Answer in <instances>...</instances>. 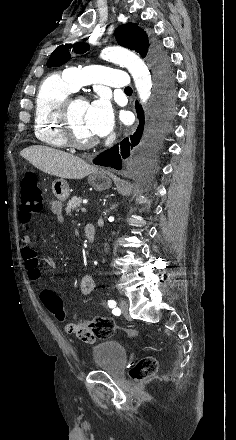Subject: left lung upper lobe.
<instances>
[{
	"mask_svg": "<svg viewBox=\"0 0 236 440\" xmlns=\"http://www.w3.org/2000/svg\"><path fill=\"white\" fill-rule=\"evenodd\" d=\"M116 38L118 44L130 50L137 52L141 57L146 56L152 58L153 61H160L161 63H169L167 57L163 54L160 44L153 38H149L147 33L137 27V24L127 23L121 25L116 29ZM70 49L75 53L82 54L89 50V45L83 42L76 44L60 45L51 54L47 66L58 67L70 60Z\"/></svg>",
	"mask_w": 236,
	"mask_h": 440,
	"instance_id": "1",
	"label": "left lung upper lobe"
}]
</instances>
